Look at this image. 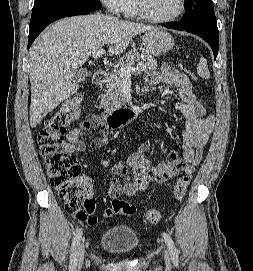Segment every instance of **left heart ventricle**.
<instances>
[{
  "mask_svg": "<svg viewBox=\"0 0 253 271\" xmlns=\"http://www.w3.org/2000/svg\"><path fill=\"white\" fill-rule=\"evenodd\" d=\"M180 0H144L147 12L155 17L165 18L175 14Z\"/></svg>",
  "mask_w": 253,
  "mask_h": 271,
  "instance_id": "1",
  "label": "left heart ventricle"
}]
</instances>
